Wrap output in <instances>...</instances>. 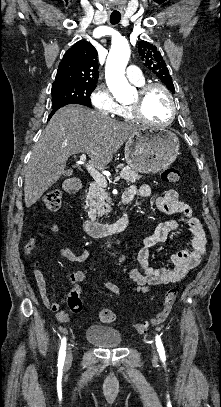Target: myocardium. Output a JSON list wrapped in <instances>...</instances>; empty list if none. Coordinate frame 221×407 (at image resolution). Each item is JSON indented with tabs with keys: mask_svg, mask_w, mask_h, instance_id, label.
<instances>
[{
	"mask_svg": "<svg viewBox=\"0 0 221 407\" xmlns=\"http://www.w3.org/2000/svg\"><path fill=\"white\" fill-rule=\"evenodd\" d=\"M152 89H160L162 90L165 95L168 98L169 104H170V115L168 120H166L165 122L162 123H157V122H153L151 120H149L143 113V102L147 96V94L152 90ZM128 109L132 115V117L139 121L142 122L144 124L147 125H154V126H160V127H166L168 125H170L176 116V112H177V107H176V103L174 100V97L171 93V91L163 84L161 83H148V84H144L142 86L139 87L138 92H137V99L134 103L130 104L128 106Z\"/></svg>",
	"mask_w": 221,
	"mask_h": 407,
	"instance_id": "1",
	"label": "myocardium"
}]
</instances>
